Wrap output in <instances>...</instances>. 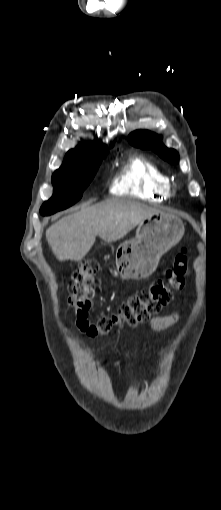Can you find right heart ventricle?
Instances as JSON below:
<instances>
[{"instance_id": "right-heart-ventricle-1", "label": "right heart ventricle", "mask_w": 221, "mask_h": 510, "mask_svg": "<svg viewBox=\"0 0 221 510\" xmlns=\"http://www.w3.org/2000/svg\"><path fill=\"white\" fill-rule=\"evenodd\" d=\"M170 180L154 162L143 156L127 160L113 180L110 192L150 202H162L169 196Z\"/></svg>"}]
</instances>
